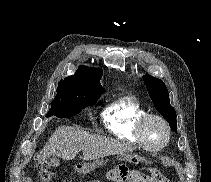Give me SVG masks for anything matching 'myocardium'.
I'll use <instances>...</instances> for the list:
<instances>
[{
  "label": "myocardium",
  "instance_id": "myocardium-1",
  "mask_svg": "<svg viewBox=\"0 0 211 182\" xmlns=\"http://www.w3.org/2000/svg\"><path fill=\"white\" fill-rule=\"evenodd\" d=\"M150 120H158L163 125V127L166 131V138L160 145L150 146L147 143V140H146L145 134H144V128H145L147 122H149ZM136 136H137V139H138L140 145H142L145 149L151 150V151H158V150L163 149L169 143V141L171 139V128H170L167 120L164 117H162L161 115L154 114V113H146L139 119V121L137 123Z\"/></svg>",
  "mask_w": 211,
  "mask_h": 182
}]
</instances>
